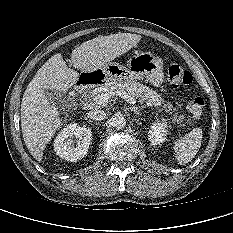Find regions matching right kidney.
<instances>
[{
    "label": "right kidney",
    "mask_w": 233,
    "mask_h": 233,
    "mask_svg": "<svg viewBox=\"0 0 233 233\" xmlns=\"http://www.w3.org/2000/svg\"><path fill=\"white\" fill-rule=\"evenodd\" d=\"M91 140L90 129L71 123L64 127L55 138L54 150L62 159L75 162L87 154Z\"/></svg>",
    "instance_id": "obj_1"
}]
</instances>
